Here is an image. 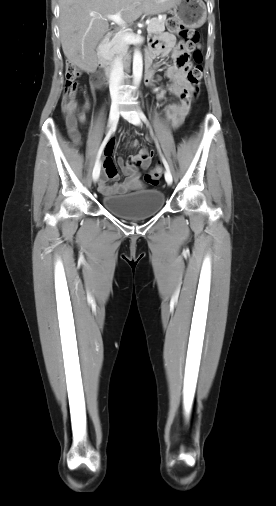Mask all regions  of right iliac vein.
Returning <instances> with one entry per match:
<instances>
[{
    "mask_svg": "<svg viewBox=\"0 0 276 506\" xmlns=\"http://www.w3.org/2000/svg\"><path fill=\"white\" fill-rule=\"evenodd\" d=\"M118 117H119V109L118 107L114 106L112 109H111V112H110V117H109V122L110 124L113 126V124H115L118 120ZM98 166H100V163L98 162L97 164ZM95 173H98L99 171V168L96 167L95 168ZM93 180L94 182H96L98 180V178L96 176H93Z\"/></svg>",
    "mask_w": 276,
    "mask_h": 506,
    "instance_id": "obj_1",
    "label": "right iliac vein"
}]
</instances>
